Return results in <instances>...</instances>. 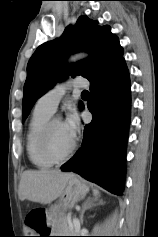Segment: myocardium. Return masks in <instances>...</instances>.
I'll return each instance as SVG.
<instances>
[{
	"label": "myocardium",
	"instance_id": "myocardium-1",
	"mask_svg": "<svg viewBox=\"0 0 158 237\" xmlns=\"http://www.w3.org/2000/svg\"><path fill=\"white\" fill-rule=\"evenodd\" d=\"M59 121L56 118L50 119L43 127L40 136H39V150L41 154L52 163H61L68 160L74 153L76 149V142L73 140V143L70 149L62 156H57L53 153L50 147V133L55 122Z\"/></svg>",
	"mask_w": 158,
	"mask_h": 237
}]
</instances>
